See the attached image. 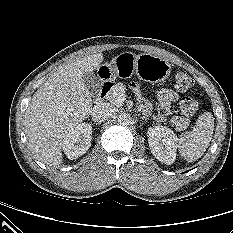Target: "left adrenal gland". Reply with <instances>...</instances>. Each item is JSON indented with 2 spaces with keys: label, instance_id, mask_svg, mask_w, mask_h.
<instances>
[{
  "label": "left adrenal gland",
  "instance_id": "obj_1",
  "mask_svg": "<svg viewBox=\"0 0 233 233\" xmlns=\"http://www.w3.org/2000/svg\"><path fill=\"white\" fill-rule=\"evenodd\" d=\"M141 119H142V120H147V117L141 116Z\"/></svg>",
  "mask_w": 233,
  "mask_h": 233
}]
</instances>
